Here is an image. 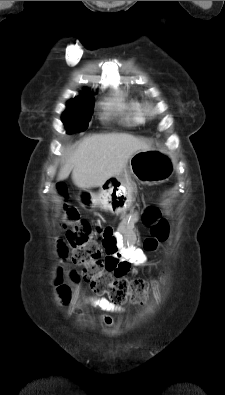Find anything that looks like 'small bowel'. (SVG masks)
<instances>
[{"mask_svg": "<svg viewBox=\"0 0 225 395\" xmlns=\"http://www.w3.org/2000/svg\"><path fill=\"white\" fill-rule=\"evenodd\" d=\"M135 216L128 218L121 227L118 234L111 229L101 231V242L107 252V257L113 262L109 265V270L117 277L125 276L131 266H143L147 262L145 254L134 245V238L130 232V226L134 223ZM57 260H70V247L67 240H56ZM69 279L75 281V288L82 289L83 283L80 279L78 267H69ZM90 302L105 312H118L122 309L105 298L93 297ZM103 322L112 326L114 319L110 315L102 316Z\"/></svg>", "mask_w": 225, "mask_h": 395, "instance_id": "small-bowel-1", "label": "small bowel"}]
</instances>
